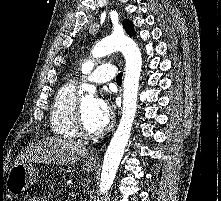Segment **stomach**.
Segmentation results:
<instances>
[{
	"label": "stomach",
	"instance_id": "0dacf381",
	"mask_svg": "<svg viewBox=\"0 0 221 201\" xmlns=\"http://www.w3.org/2000/svg\"><path fill=\"white\" fill-rule=\"evenodd\" d=\"M94 163L85 161L83 169L91 172L95 169ZM39 178L38 170L31 164L25 162H16L11 169L6 180V188L9 193L18 195L33 185Z\"/></svg>",
	"mask_w": 221,
	"mask_h": 201
}]
</instances>
